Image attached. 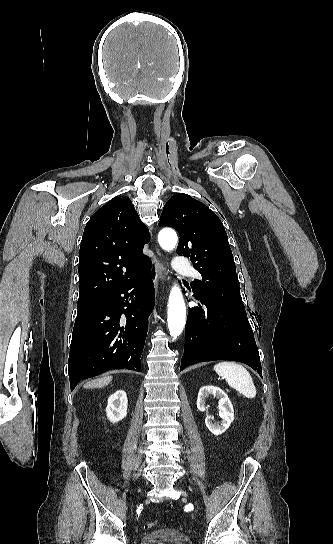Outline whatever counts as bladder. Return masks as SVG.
<instances>
[{"mask_svg": "<svg viewBox=\"0 0 333 544\" xmlns=\"http://www.w3.org/2000/svg\"><path fill=\"white\" fill-rule=\"evenodd\" d=\"M140 544H193L185 533L172 528L161 529L144 535Z\"/></svg>", "mask_w": 333, "mask_h": 544, "instance_id": "31cf9c89", "label": "bladder"}]
</instances>
